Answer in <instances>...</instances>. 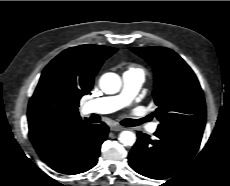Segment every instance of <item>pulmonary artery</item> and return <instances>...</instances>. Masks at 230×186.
Here are the masks:
<instances>
[{"label": "pulmonary artery", "mask_w": 230, "mask_h": 186, "mask_svg": "<svg viewBox=\"0 0 230 186\" xmlns=\"http://www.w3.org/2000/svg\"><path fill=\"white\" fill-rule=\"evenodd\" d=\"M122 80L123 87L119 94L90 100L86 103L85 109L88 112L106 114L128 106L142 87L145 75L141 71L128 70L123 73ZM156 130L157 123L148 127L150 133Z\"/></svg>", "instance_id": "obj_1"}]
</instances>
